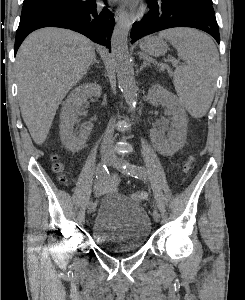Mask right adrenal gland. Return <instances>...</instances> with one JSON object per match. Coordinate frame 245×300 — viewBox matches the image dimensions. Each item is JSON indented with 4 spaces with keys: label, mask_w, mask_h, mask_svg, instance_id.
I'll return each mask as SVG.
<instances>
[{
    "label": "right adrenal gland",
    "mask_w": 245,
    "mask_h": 300,
    "mask_svg": "<svg viewBox=\"0 0 245 300\" xmlns=\"http://www.w3.org/2000/svg\"><path fill=\"white\" fill-rule=\"evenodd\" d=\"M95 63L99 64V61L97 60L96 55L94 56L91 65H94Z\"/></svg>",
    "instance_id": "right-adrenal-gland-1"
}]
</instances>
